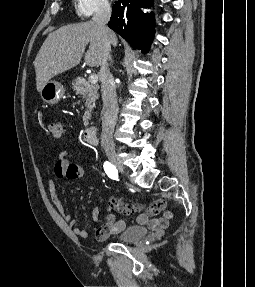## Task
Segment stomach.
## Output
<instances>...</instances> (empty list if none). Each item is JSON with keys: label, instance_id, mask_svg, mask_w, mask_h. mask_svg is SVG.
<instances>
[{"label": "stomach", "instance_id": "1", "mask_svg": "<svg viewBox=\"0 0 255 287\" xmlns=\"http://www.w3.org/2000/svg\"><path fill=\"white\" fill-rule=\"evenodd\" d=\"M65 94V88H63L60 82H54V80H50L47 82L45 86H43L40 96L46 104H58L61 98H63Z\"/></svg>", "mask_w": 255, "mask_h": 287}]
</instances>
